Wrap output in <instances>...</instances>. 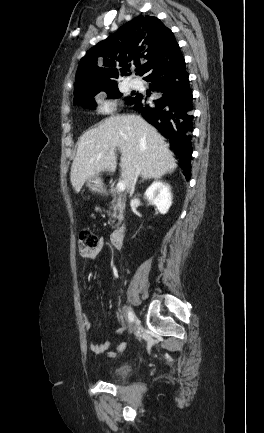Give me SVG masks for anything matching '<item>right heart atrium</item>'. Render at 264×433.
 <instances>
[{
    "mask_svg": "<svg viewBox=\"0 0 264 433\" xmlns=\"http://www.w3.org/2000/svg\"><path fill=\"white\" fill-rule=\"evenodd\" d=\"M96 109L100 114H111L115 111V104L110 99L100 97L97 100Z\"/></svg>",
    "mask_w": 264,
    "mask_h": 433,
    "instance_id": "1",
    "label": "right heart atrium"
}]
</instances>
